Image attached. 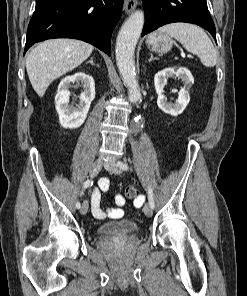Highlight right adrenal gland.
Listing matches in <instances>:
<instances>
[{
	"label": "right adrenal gland",
	"mask_w": 247,
	"mask_h": 296,
	"mask_svg": "<svg viewBox=\"0 0 247 296\" xmlns=\"http://www.w3.org/2000/svg\"><path fill=\"white\" fill-rule=\"evenodd\" d=\"M87 63H90L92 65H95L94 62H93V58H91Z\"/></svg>",
	"instance_id": "2a0ac1e0"
}]
</instances>
